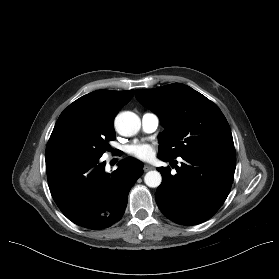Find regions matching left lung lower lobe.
Wrapping results in <instances>:
<instances>
[{
    "mask_svg": "<svg viewBox=\"0 0 279 279\" xmlns=\"http://www.w3.org/2000/svg\"><path fill=\"white\" fill-rule=\"evenodd\" d=\"M163 161L167 159L160 158ZM177 174L159 167L162 183L155 199L160 211L181 225H196L211 218L227 198L236 167L234 152H195L182 156Z\"/></svg>",
    "mask_w": 279,
    "mask_h": 279,
    "instance_id": "1",
    "label": "left lung lower lobe"
}]
</instances>
